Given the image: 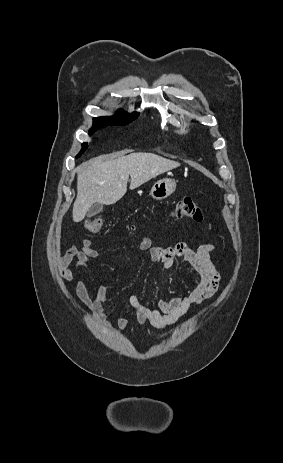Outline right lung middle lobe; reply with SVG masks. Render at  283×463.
<instances>
[{
  "mask_svg": "<svg viewBox=\"0 0 283 463\" xmlns=\"http://www.w3.org/2000/svg\"><path fill=\"white\" fill-rule=\"evenodd\" d=\"M139 116V113L134 112L132 114H128L124 111H120L117 115L113 117H97L94 118L93 127L90 129L89 134L91 135L97 129L106 127L108 125H126L133 120H135ZM83 148L80 153L76 157H80L81 154L86 150L87 143L82 144Z\"/></svg>",
  "mask_w": 283,
  "mask_h": 463,
  "instance_id": "right-lung-middle-lobe-1",
  "label": "right lung middle lobe"
}]
</instances>
